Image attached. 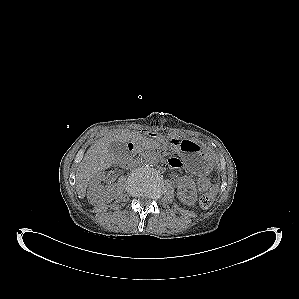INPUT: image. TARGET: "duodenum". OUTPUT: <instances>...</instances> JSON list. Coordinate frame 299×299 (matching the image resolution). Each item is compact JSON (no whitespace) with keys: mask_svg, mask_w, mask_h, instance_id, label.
<instances>
[{"mask_svg":"<svg viewBox=\"0 0 299 299\" xmlns=\"http://www.w3.org/2000/svg\"><path fill=\"white\" fill-rule=\"evenodd\" d=\"M127 150L129 153H133L135 151V143L134 142H129L127 145Z\"/></svg>","mask_w":299,"mask_h":299,"instance_id":"obj_1","label":"duodenum"}]
</instances>
